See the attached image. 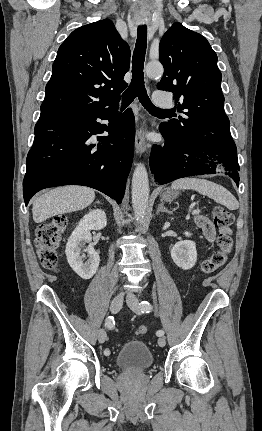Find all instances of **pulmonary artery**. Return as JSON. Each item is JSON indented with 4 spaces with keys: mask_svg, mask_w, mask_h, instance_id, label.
I'll return each instance as SVG.
<instances>
[{
    "mask_svg": "<svg viewBox=\"0 0 262 431\" xmlns=\"http://www.w3.org/2000/svg\"><path fill=\"white\" fill-rule=\"evenodd\" d=\"M153 99H154V102L156 103V105H158V106H161V107H171L172 106V103L169 101L167 96L161 91L155 92L153 95Z\"/></svg>",
    "mask_w": 262,
    "mask_h": 431,
    "instance_id": "1",
    "label": "pulmonary artery"
}]
</instances>
